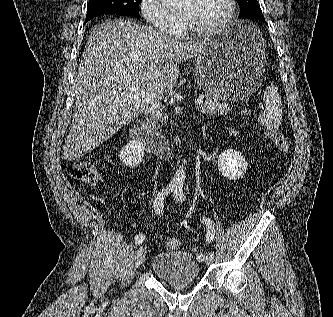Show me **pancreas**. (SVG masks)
I'll list each match as a JSON object with an SVG mask.
<instances>
[{"mask_svg": "<svg viewBox=\"0 0 333 317\" xmlns=\"http://www.w3.org/2000/svg\"><path fill=\"white\" fill-rule=\"evenodd\" d=\"M198 110L204 114H227L230 111L228 103H220L218 99L210 95L205 96V102L198 107ZM167 116L163 112H154L150 115L148 123L154 129H161V125L167 123Z\"/></svg>", "mask_w": 333, "mask_h": 317, "instance_id": "1", "label": "pancreas"}]
</instances>
